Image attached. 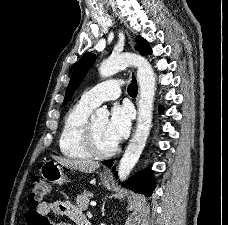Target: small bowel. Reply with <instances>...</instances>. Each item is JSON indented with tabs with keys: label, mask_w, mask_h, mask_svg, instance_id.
<instances>
[{
	"label": "small bowel",
	"mask_w": 228,
	"mask_h": 225,
	"mask_svg": "<svg viewBox=\"0 0 228 225\" xmlns=\"http://www.w3.org/2000/svg\"><path fill=\"white\" fill-rule=\"evenodd\" d=\"M51 213L67 217L76 224L78 223V220L83 217L82 212L70 201H43L37 205L36 209L30 210L27 213V225H66L65 223L48 222V218L46 217Z\"/></svg>",
	"instance_id": "obj_1"
}]
</instances>
